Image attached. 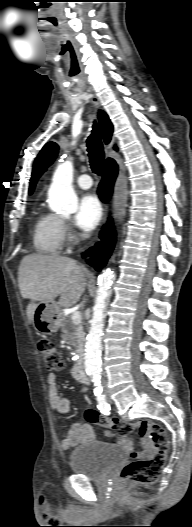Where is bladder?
Wrapping results in <instances>:
<instances>
[{
    "instance_id": "obj_1",
    "label": "bladder",
    "mask_w": 192,
    "mask_h": 527,
    "mask_svg": "<svg viewBox=\"0 0 192 527\" xmlns=\"http://www.w3.org/2000/svg\"><path fill=\"white\" fill-rule=\"evenodd\" d=\"M126 458V453L122 448L101 441H93L72 453L69 462L75 474L89 480L99 481L122 464Z\"/></svg>"
}]
</instances>
